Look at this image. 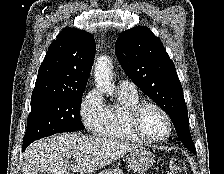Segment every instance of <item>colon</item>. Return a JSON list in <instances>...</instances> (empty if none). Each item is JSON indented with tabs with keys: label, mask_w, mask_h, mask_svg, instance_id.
Listing matches in <instances>:
<instances>
[{
	"label": "colon",
	"mask_w": 224,
	"mask_h": 174,
	"mask_svg": "<svg viewBox=\"0 0 224 174\" xmlns=\"http://www.w3.org/2000/svg\"><path fill=\"white\" fill-rule=\"evenodd\" d=\"M186 165L180 159H172L168 163V174H183Z\"/></svg>",
	"instance_id": "colon-1"
}]
</instances>
